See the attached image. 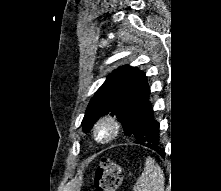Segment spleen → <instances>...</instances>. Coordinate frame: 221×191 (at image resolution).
Returning <instances> with one entry per match:
<instances>
[{
    "label": "spleen",
    "instance_id": "obj_1",
    "mask_svg": "<svg viewBox=\"0 0 221 191\" xmlns=\"http://www.w3.org/2000/svg\"><path fill=\"white\" fill-rule=\"evenodd\" d=\"M165 177L161 168L151 157L146 159L144 171L133 187L134 191H164Z\"/></svg>",
    "mask_w": 221,
    "mask_h": 191
}]
</instances>
